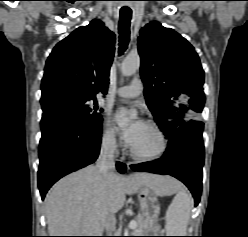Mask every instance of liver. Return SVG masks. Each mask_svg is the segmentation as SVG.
<instances>
[{"mask_svg": "<svg viewBox=\"0 0 248 237\" xmlns=\"http://www.w3.org/2000/svg\"><path fill=\"white\" fill-rule=\"evenodd\" d=\"M178 183L167 176L135 173L104 176L97 166H88L58 181L45 198L49 236H101L108 217L124 206L126 194L143 186L159 193Z\"/></svg>", "mask_w": 248, "mask_h": 237, "instance_id": "obj_1", "label": "liver"}]
</instances>
